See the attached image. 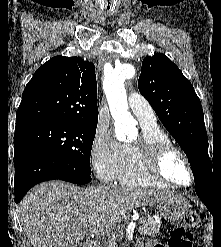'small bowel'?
Wrapping results in <instances>:
<instances>
[{
    "mask_svg": "<svg viewBox=\"0 0 221 247\" xmlns=\"http://www.w3.org/2000/svg\"><path fill=\"white\" fill-rule=\"evenodd\" d=\"M144 247H161L160 245H155V244H152V243H148L146 245H144Z\"/></svg>",
    "mask_w": 221,
    "mask_h": 247,
    "instance_id": "obj_1",
    "label": "small bowel"
}]
</instances>
